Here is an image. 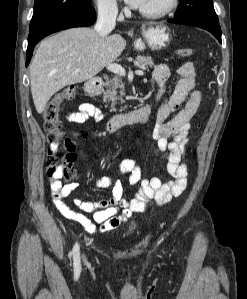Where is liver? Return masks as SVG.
Segmentation results:
<instances>
[{"instance_id": "6515ba94", "label": "liver", "mask_w": 247, "mask_h": 299, "mask_svg": "<svg viewBox=\"0 0 247 299\" xmlns=\"http://www.w3.org/2000/svg\"><path fill=\"white\" fill-rule=\"evenodd\" d=\"M125 47L121 35L102 38L88 27L67 29L43 40L30 66L36 111L43 113L50 98L62 88L93 78Z\"/></svg>"}]
</instances>
